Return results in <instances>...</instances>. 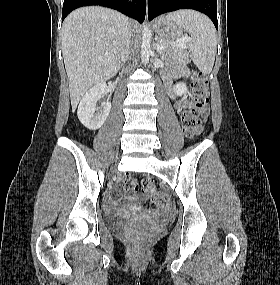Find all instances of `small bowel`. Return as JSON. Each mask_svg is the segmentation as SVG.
Here are the masks:
<instances>
[{
	"label": "small bowel",
	"instance_id": "c3829d8e",
	"mask_svg": "<svg viewBox=\"0 0 280 285\" xmlns=\"http://www.w3.org/2000/svg\"><path fill=\"white\" fill-rule=\"evenodd\" d=\"M187 72L183 67L177 66L174 70L168 75L165 76V84L171 94L174 97L173 93V84L177 81H182L186 78ZM186 105V100L183 99L177 103V111L180 113L184 110ZM204 114H207V109L204 110Z\"/></svg>",
	"mask_w": 280,
	"mask_h": 285
}]
</instances>
